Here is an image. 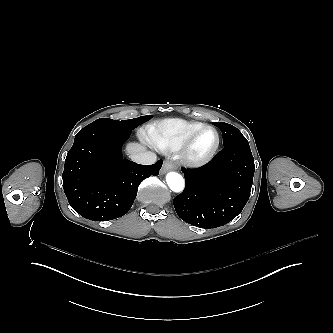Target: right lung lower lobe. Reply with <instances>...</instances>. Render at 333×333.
Segmentation results:
<instances>
[{"label": "right lung lower lobe", "mask_w": 333, "mask_h": 333, "mask_svg": "<svg viewBox=\"0 0 333 333\" xmlns=\"http://www.w3.org/2000/svg\"><path fill=\"white\" fill-rule=\"evenodd\" d=\"M130 134L89 124L75 136L62 179L69 204L84 218L107 221L125 215L140 183L159 174L162 160L146 166L123 158L121 147Z\"/></svg>", "instance_id": "right-lung-lower-lobe-1"}]
</instances>
